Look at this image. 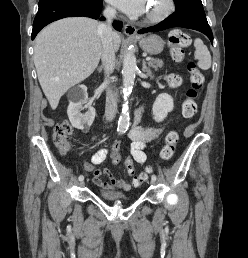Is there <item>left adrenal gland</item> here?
<instances>
[{
	"instance_id": "left-adrenal-gland-1",
	"label": "left adrenal gland",
	"mask_w": 248,
	"mask_h": 258,
	"mask_svg": "<svg viewBox=\"0 0 248 258\" xmlns=\"http://www.w3.org/2000/svg\"><path fill=\"white\" fill-rule=\"evenodd\" d=\"M142 71L146 73L148 76H151L152 72L149 67L146 65V61L143 59L142 61Z\"/></svg>"
}]
</instances>
